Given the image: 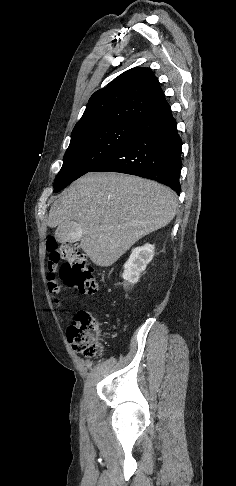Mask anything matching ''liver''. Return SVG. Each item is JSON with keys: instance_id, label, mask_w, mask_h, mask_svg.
I'll return each mask as SVG.
<instances>
[{"instance_id": "6515ba94", "label": "liver", "mask_w": 236, "mask_h": 486, "mask_svg": "<svg viewBox=\"0 0 236 486\" xmlns=\"http://www.w3.org/2000/svg\"><path fill=\"white\" fill-rule=\"evenodd\" d=\"M176 209L174 191L155 181L88 173L53 203L48 226L78 223L82 250L94 264L109 267L139 239L168 225Z\"/></svg>"}]
</instances>
